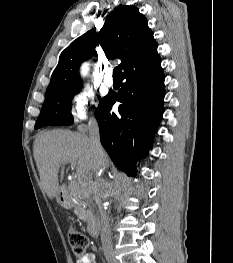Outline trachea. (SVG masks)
<instances>
[{"label": "trachea", "instance_id": "1", "mask_svg": "<svg viewBox=\"0 0 233 263\" xmlns=\"http://www.w3.org/2000/svg\"><path fill=\"white\" fill-rule=\"evenodd\" d=\"M113 78L114 79H121L122 78V68L120 66H117L114 68Z\"/></svg>", "mask_w": 233, "mask_h": 263}]
</instances>
